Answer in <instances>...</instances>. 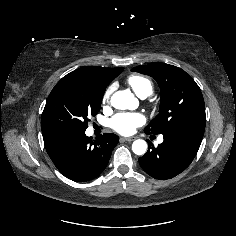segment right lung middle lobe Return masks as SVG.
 <instances>
[{"label":"right lung middle lobe","instance_id":"1","mask_svg":"<svg viewBox=\"0 0 236 236\" xmlns=\"http://www.w3.org/2000/svg\"><path fill=\"white\" fill-rule=\"evenodd\" d=\"M106 86L63 77L51 91L41 117L43 136L63 138L84 133L89 116L101 107Z\"/></svg>","mask_w":236,"mask_h":236}]
</instances>
